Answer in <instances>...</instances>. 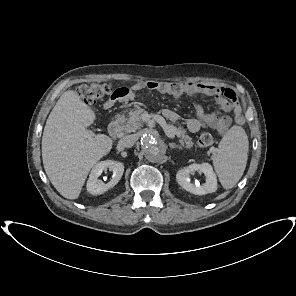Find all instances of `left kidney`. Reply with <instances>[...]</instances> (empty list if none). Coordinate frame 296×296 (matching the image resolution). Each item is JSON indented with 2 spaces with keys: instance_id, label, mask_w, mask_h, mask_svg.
<instances>
[{
  "instance_id": "obj_1",
  "label": "left kidney",
  "mask_w": 296,
  "mask_h": 296,
  "mask_svg": "<svg viewBox=\"0 0 296 296\" xmlns=\"http://www.w3.org/2000/svg\"><path fill=\"white\" fill-rule=\"evenodd\" d=\"M196 171L205 175L206 180L202 185L199 183H192L190 180V174H193ZM176 180L183 189L195 195L213 193L217 190L216 175L212 169V166L208 163H194L183 169H180L176 174Z\"/></svg>"
}]
</instances>
